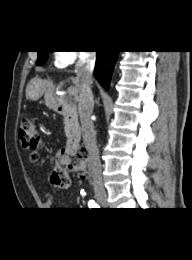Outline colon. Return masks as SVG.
I'll use <instances>...</instances> for the list:
<instances>
[{"label":"colon","mask_w":192,"mask_h":260,"mask_svg":"<svg viewBox=\"0 0 192 260\" xmlns=\"http://www.w3.org/2000/svg\"><path fill=\"white\" fill-rule=\"evenodd\" d=\"M19 141L22 147L31 152V159L37 161L39 156L37 149L40 144V132L35 123L30 118H24L21 121L19 132ZM88 153L85 149L77 152H62L56 159L53 171L51 173V183L59 190H66L71 185V173H78L82 179L87 178L86 161Z\"/></svg>","instance_id":"colon-1"}]
</instances>
